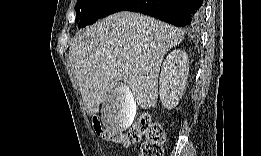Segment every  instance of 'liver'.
Here are the masks:
<instances>
[{
	"instance_id": "1",
	"label": "liver",
	"mask_w": 261,
	"mask_h": 156,
	"mask_svg": "<svg viewBox=\"0 0 261 156\" xmlns=\"http://www.w3.org/2000/svg\"><path fill=\"white\" fill-rule=\"evenodd\" d=\"M183 39L181 29L127 11L79 31L70 46L69 60L87 114L99 113L100 104L112 92L121 95V101L125 88L134 111L112 130H126L133 122L135 104L143 109L155 107L163 58Z\"/></svg>"
}]
</instances>
